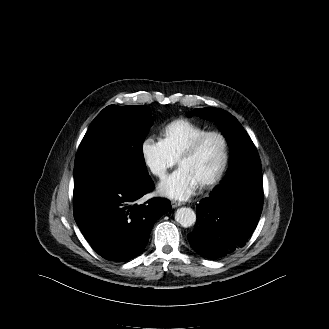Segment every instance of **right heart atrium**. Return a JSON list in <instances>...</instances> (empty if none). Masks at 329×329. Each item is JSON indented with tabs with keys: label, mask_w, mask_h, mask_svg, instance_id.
I'll use <instances>...</instances> for the list:
<instances>
[{
	"label": "right heart atrium",
	"mask_w": 329,
	"mask_h": 329,
	"mask_svg": "<svg viewBox=\"0 0 329 329\" xmlns=\"http://www.w3.org/2000/svg\"><path fill=\"white\" fill-rule=\"evenodd\" d=\"M141 155L147 168L158 178H163L177 161L161 139L152 137L143 139Z\"/></svg>",
	"instance_id": "1"
}]
</instances>
